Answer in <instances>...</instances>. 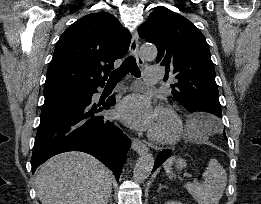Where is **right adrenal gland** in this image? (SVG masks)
<instances>
[{"label": "right adrenal gland", "mask_w": 261, "mask_h": 204, "mask_svg": "<svg viewBox=\"0 0 261 204\" xmlns=\"http://www.w3.org/2000/svg\"><path fill=\"white\" fill-rule=\"evenodd\" d=\"M109 201L112 203V196L110 197Z\"/></svg>", "instance_id": "2a0ac1e0"}]
</instances>
